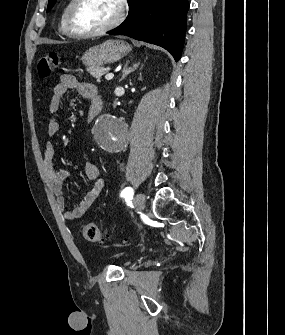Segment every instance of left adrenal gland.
<instances>
[{"label":"left adrenal gland","mask_w":285,"mask_h":335,"mask_svg":"<svg viewBox=\"0 0 285 335\" xmlns=\"http://www.w3.org/2000/svg\"><path fill=\"white\" fill-rule=\"evenodd\" d=\"M130 60H127L123 70H122V76L119 80V82H122V80H124V78H126V76H128V74H131V72H134V70H137L138 66H140V62H138V64H133L132 68H128V64H129Z\"/></svg>","instance_id":"a2214340"}]
</instances>
